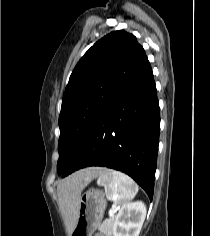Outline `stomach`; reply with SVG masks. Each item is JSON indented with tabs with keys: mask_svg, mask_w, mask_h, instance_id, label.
Segmentation results:
<instances>
[{
	"mask_svg": "<svg viewBox=\"0 0 210 236\" xmlns=\"http://www.w3.org/2000/svg\"><path fill=\"white\" fill-rule=\"evenodd\" d=\"M107 202L99 189H89L80 198L78 218L71 236H92L99 227Z\"/></svg>",
	"mask_w": 210,
	"mask_h": 236,
	"instance_id": "stomach-1",
	"label": "stomach"
}]
</instances>
